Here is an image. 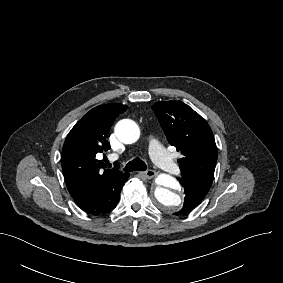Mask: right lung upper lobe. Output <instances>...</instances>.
<instances>
[{"label": "right lung upper lobe", "instance_id": "cb5924a9", "mask_svg": "<svg viewBox=\"0 0 283 283\" xmlns=\"http://www.w3.org/2000/svg\"><path fill=\"white\" fill-rule=\"evenodd\" d=\"M127 106L109 103L87 112L67 135L62 151V170L69 193L86 185L99 186L120 176L118 168L101 170L96 155L108 150L106 140L111 125Z\"/></svg>", "mask_w": 283, "mask_h": 283}]
</instances>
